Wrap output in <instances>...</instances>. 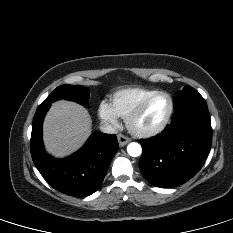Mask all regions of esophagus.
Returning a JSON list of instances; mask_svg holds the SVG:
<instances>
[{"label": "esophagus", "instance_id": "esophagus-1", "mask_svg": "<svg viewBox=\"0 0 233 233\" xmlns=\"http://www.w3.org/2000/svg\"><path fill=\"white\" fill-rule=\"evenodd\" d=\"M118 139V143L121 147L125 146L127 143H129L131 140L130 138H128L127 136L123 135V134H119L117 136Z\"/></svg>", "mask_w": 233, "mask_h": 233}]
</instances>
